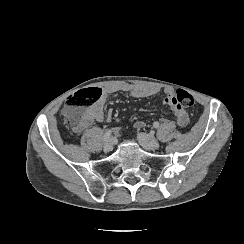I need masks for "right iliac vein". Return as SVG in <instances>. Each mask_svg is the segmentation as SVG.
<instances>
[{
  "label": "right iliac vein",
  "instance_id": "1",
  "mask_svg": "<svg viewBox=\"0 0 244 244\" xmlns=\"http://www.w3.org/2000/svg\"><path fill=\"white\" fill-rule=\"evenodd\" d=\"M114 145V139L113 138H109L108 140H106L104 142V150L105 151H111Z\"/></svg>",
  "mask_w": 244,
  "mask_h": 244
}]
</instances>
